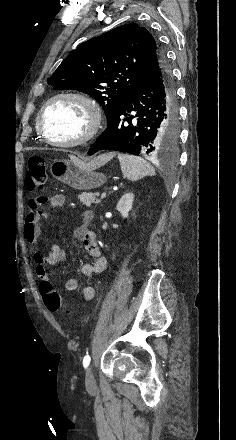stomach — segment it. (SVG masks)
<instances>
[{
	"instance_id": "0dacf381",
	"label": "stomach",
	"mask_w": 236,
	"mask_h": 440,
	"mask_svg": "<svg viewBox=\"0 0 236 440\" xmlns=\"http://www.w3.org/2000/svg\"><path fill=\"white\" fill-rule=\"evenodd\" d=\"M50 172L58 181L78 190L98 188L107 180L103 173L96 172L86 163L75 159L54 161L50 166Z\"/></svg>"
}]
</instances>
